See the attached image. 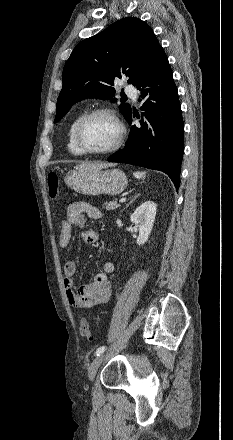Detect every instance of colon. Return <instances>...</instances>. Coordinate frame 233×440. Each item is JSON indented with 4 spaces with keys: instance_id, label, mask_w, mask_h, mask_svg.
<instances>
[{
    "instance_id": "1",
    "label": "colon",
    "mask_w": 233,
    "mask_h": 440,
    "mask_svg": "<svg viewBox=\"0 0 233 440\" xmlns=\"http://www.w3.org/2000/svg\"><path fill=\"white\" fill-rule=\"evenodd\" d=\"M48 192L52 199H57L59 195V178L54 172H51L47 176ZM80 333L86 338H91V326L88 320L83 319L80 324Z\"/></svg>"
}]
</instances>
